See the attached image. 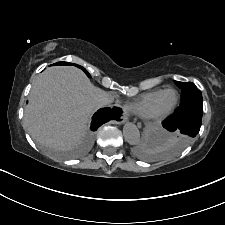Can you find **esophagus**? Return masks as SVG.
Masks as SVG:
<instances>
[{
    "label": "esophagus",
    "instance_id": "obj_1",
    "mask_svg": "<svg viewBox=\"0 0 225 225\" xmlns=\"http://www.w3.org/2000/svg\"><path fill=\"white\" fill-rule=\"evenodd\" d=\"M120 107V118L117 121L118 124H123L128 120V111L125 107L119 106Z\"/></svg>",
    "mask_w": 225,
    "mask_h": 225
}]
</instances>
